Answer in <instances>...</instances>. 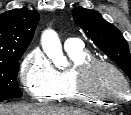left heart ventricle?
Masks as SVG:
<instances>
[{
	"instance_id": "1",
	"label": "left heart ventricle",
	"mask_w": 131,
	"mask_h": 115,
	"mask_svg": "<svg viewBox=\"0 0 131 115\" xmlns=\"http://www.w3.org/2000/svg\"><path fill=\"white\" fill-rule=\"evenodd\" d=\"M90 86L94 91L111 98L126 96L124 83L119 76L104 67L93 71L90 77Z\"/></svg>"
}]
</instances>
